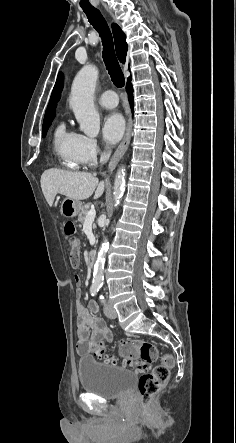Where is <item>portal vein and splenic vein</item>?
Here are the masks:
<instances>
[{"instance_id": "portal-vein-and-splenic-vein-1", "label": "portal vein and splenic vein", "mask_w": 236, "mask_h": 443, "mask_svg": "<svg viewBox=\"0 0 236 443\" xmlns=\"http://www.w3.org/2000/svg\"><path fill=\"white\" fill-rule=\"evenodd\" d=\"M96 216V211L94 208H91L88 212V214L86 215V219L85 222H93Z\"/></svg>"}]
</instances>
